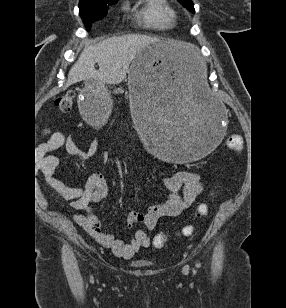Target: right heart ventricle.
Returning a JSON list of instances; mask_svg holds the SVG:
<instances>
[{"label": "right heart ventricle", "instance_id": "e07e8e85", "mask_svg": "<svg viewBox=\"0 0 286 308\" xmlns=\"http://www.w3.org/2000/svg\"><path fill=\"white\" fill-rule=\"evenodd\" d=\"M137 24L152 30H168L177 23V12L168 0H138L134 6H126Z\"/></svg>", "mask_w": 286, "mask_h": 308}]
</instances>
